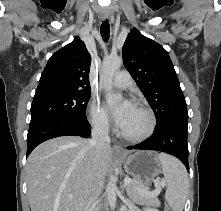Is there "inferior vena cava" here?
I'll list each match as a JSON object with an SVG mask.
<instances>
[{
	"instance_id": "1",
	"label": "inferior vena cava",
	"mask_w": 221,
	"mask_h": 211,
	"mask_svg": "<svg viewBox=\"0 0 221 211\" xmlns=\"http://www.w3.org/2000/svg\"><path fill=\"white\" fill-rule=\"evenodd\" d=\"M108 132L109 126L107 121L102 120L95 123L92 130V139L90 140V144L95 149L98 157H100V154L104 148L110 147V137ZM104 179L103 173L99 171L96 174L91 192L88 197V203L91 205L92 211H101L99 201L104 185Z\"/></svg>"
}]
</instances>
